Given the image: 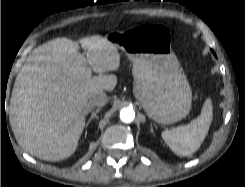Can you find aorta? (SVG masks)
Listing matches in <instances>:
<instances>
[{
  "mask_svg": "<svg viewBox=\"0 0 245 187\" xmlns=\"http://www.w3.org/2000/svg\"><path fill=\"white\" fill-rule=\"evenodd\" d=\"M135 118V112L132 108H123L120 111V119L124 123H131Z\"/></svg>",
  "mask_w": 245,
  "mask_h": 187,
  "instance_id": "762f6f07",
  "label": "aorta"
}]
</instances>
